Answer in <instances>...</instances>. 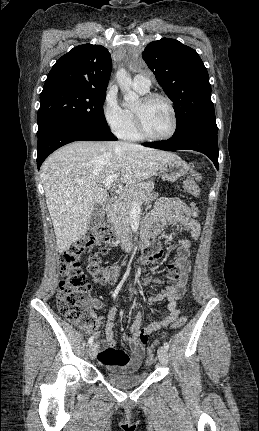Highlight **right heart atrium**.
I'll list each match as a JSON object with an SVG mask.
<instances>
[{
    "instance_id": "obj_1",
    "label": "right heart atrium",
    "mask_w": 259,
    "mask_h": 431,
    "mask_svg": "<svg viewBox=\"0 0 259 431\" xmlns=\"http://www.w3.org/2000/svg\"><path fill=\"white\" fill-rule=\"evenodd\" d=\"M101 112L106 125L115 133L119 134L127 122L126 109L121 105L117 89L110 86L104 96Z\"/></svg>"
}]
</instances>
